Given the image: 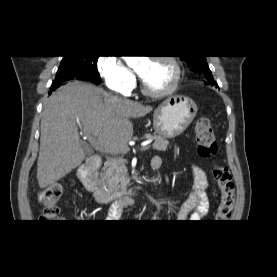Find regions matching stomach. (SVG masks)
<instances>
[{"label": "stomach", "instance_id": "1", "mask_svg": "<svg viewBox=\"0 0 277 277\" xmlns=\"http://www.w3.org/2000/svg\"><path fill=\"white\" fill-rule=\"evenodd\" d=\"M197 114V105L189 97L174 95L163 101L154 111L153 128L163 138L181 135Z\"/></svg>", "mask_w": 277, "mask_h": 277}]
</instances>
